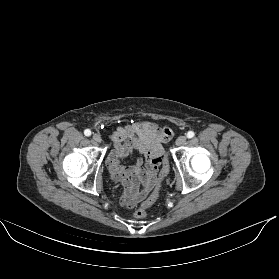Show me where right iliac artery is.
Returning <instances> with one entry per match:
<instances>
[{"mask_svg": "<svg viewBox=\"0 0 279 279\" xmlns=\"http://www.w3.org/2000/svg\"><path fill=\"white\" fill-rule=\"evenodd\" d=\"M85 136H90L91 135V131L89 129H86L84 131Z\"/></svg>", "mask_w": 279, "mask_h": 279, "instance_id": "right-iliac-artery-1", "label": "right iliac artery"}]
</instances>
